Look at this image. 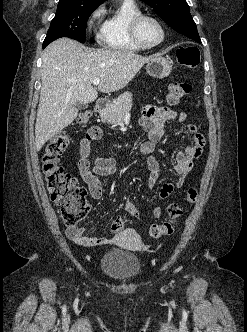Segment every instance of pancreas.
<instances>
[{
	"label": "pancreas",
	"instance_id": "pancreas-1",
	"mask_svg": "<svg viewBox=\"0 0 247 332\" xmlns=\"http://www.w3.org/2000/svg\"><path fill=\"white\" fill-rule=\"evenodd\" d=\"M132 107V93L125 92L114 100L105 110L100 114L103 122L112 125H119L126 113Z\"/></svg>",
	"mask_w": 247,
	"mask_h": 332
}]
</instances>
